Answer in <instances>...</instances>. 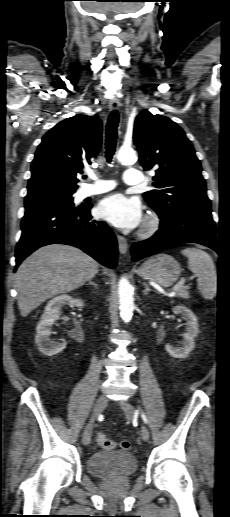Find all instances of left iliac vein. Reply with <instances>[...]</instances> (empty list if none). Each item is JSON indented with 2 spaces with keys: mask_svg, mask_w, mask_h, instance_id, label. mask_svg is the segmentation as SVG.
<instances>
[{
  "mask_svg": "<svg viewBox=\"0 0 230 517\" xmlns=\"http://www.w3.org/2000/svg\"><path fill=\"white\" fill-rule=\"evenodd\" d=\"M120 407L122 408V410L124 411L125 413V416L127 419L131 420L133 419L135 413H136V408L129 402L127 401H121L120 402ZM149 430L146 426H142L141 428V438L142 440L144 441H148L149 439Z\"/></svg>",
  "mask_w": 230,
  "mask_h": 517,
  "instance_id": "4c4485c4",
  "label": "left iliac vein"
}]
</instances>
